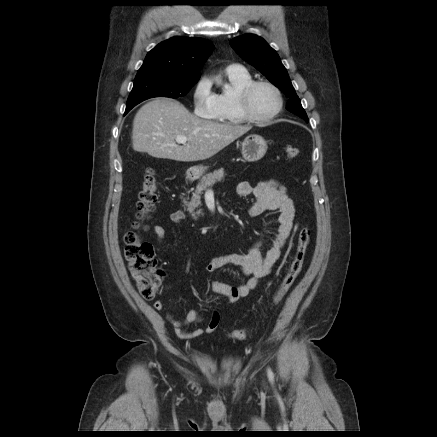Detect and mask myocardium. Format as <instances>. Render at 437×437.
Returning <instances> with one entry per match:
<instances>
[{
	"label": "myocardium",
	"mask_w": 437,
	"mask_h": 437,
	"mask_svg": "<svg viewBox=\"0 0 437 437\" xmlns=\"http://www.w3.org/2000/svg\"><path fill=\"white\" fill-rule=\"evenodd\" d=\"M259 86H267L270 89L273 90V92L276 95L277 98V107L275 109V111L266 116V117H260L257 116L253 113L252 108H251V96L254 92V90L259 87ZM238 103H239V108L240 111L243 115V117L249 121V122H253V123H267L270 122L272 120H274L282 111L283 109V97L281 94L280 89L273 84L270 81L267 80H253L250 83H248L239 93L238 96Z\"/></svg>",
	"instance_id": "1"
}]
</instances>
